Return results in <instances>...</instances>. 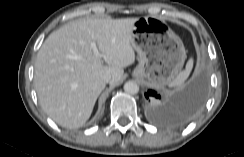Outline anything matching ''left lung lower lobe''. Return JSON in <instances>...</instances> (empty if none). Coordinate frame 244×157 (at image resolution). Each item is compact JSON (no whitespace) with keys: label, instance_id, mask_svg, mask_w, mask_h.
<instances>
[{"label":"left lung lower lobe","instance_id":"left-lung-lower-lobe-1","mask_svg":"<svg viewBox=\"0 0 244 157\" xmlns=\"http://www.w3.org/2000/svg\"><path fill=\"white\" fill-rule=\"evenodd\" d=\"M205 95L206 80L204 76H200L177 94L169 108L158 110L157 116L163 123H186L199 111ZM145 97L153 103L161 99V96L153 90L145 93Z\"/></svg>","mask_w":244,"mask_h":157}]
</instances>
